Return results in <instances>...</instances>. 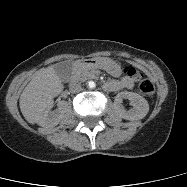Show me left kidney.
<instances>
[{
    "label": "left kidney",
    "instance_id": "1",
    "mask_svg": "<svg viewBox=\"0 0 187 187\" xmlns=\"http://www.w3.org/2000/svg\"><path fill=\"white\" fill-rule=\"evenodd\" d=\"M123 99H128L133 104V109L126 111L121 103ZM115 108L118 114L126 120H139L146 116L149 111V104L145 98L133 92H120L115 97Z\"/></svg>",
    "mask_w": 187,
    "mask_h": 187
}]
</instances>
